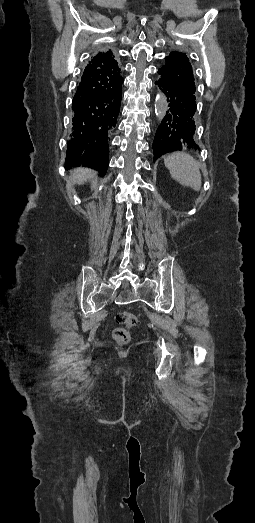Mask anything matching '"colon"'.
Masks as SVG:
<instances>
[{
    "mask_svg": "<svg viewBox=\"0 0 255 523\" xmlns=\"http://www.w3.org/2000/svg\"><path fill=\"white\" fill-rule=\"evenodd\" d=\"M116 322L120 325L113 330V338L120 345L128 344L131 340L130 329L137 325L138 319L135 314L123 311L116 316Z\"/></svg>",
    "mask_w": 255,
    "mask_h": 523,
    "instance_id": "5ec220e1",
    "label": "colon"
}]
</instances>
